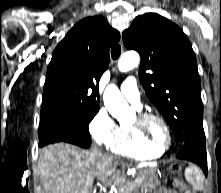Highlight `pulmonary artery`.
I'll list each match as a JSON object with an SVG mask.
<instances>
[{
	"instance_id": "e3ab8cb5",
	"label": "pulmonary artery",
	"mask_w": 221,
	"mask_h": 193,
	"mask_svg": "<svg viewBox=\"0 0 221 193\" xmlns=\"http://www.w3.org/2000/svg\"><path fill=\"white\" fill-rule=\"evenodd\" d=\"M122 95L137 108L141 107L140 94L136 84V79L133 76H128L120 86Z\"/></svg>"
}]
</instances>
